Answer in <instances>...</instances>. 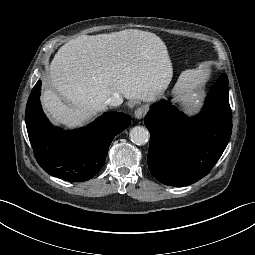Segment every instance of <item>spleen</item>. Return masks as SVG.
Masks as SVG:
<instances>
[{
  "instance_id": "1",
  "label": "spleen",
  "mask_w": 255,
  "mask_h": 255,
  "mask_svg": "<svg viewBox=\"0 0 255 255\" xmlns=\"http://www.w3.org/2000/svg\"><path fill=\"white\" fill-rule=\"evenodd\" d=\"M209 78L207 69H192L184 71L175 85L176 101L181 103L189 113L197 112L201 106L202 90Z\"/></svg>"
}]
</instances>
